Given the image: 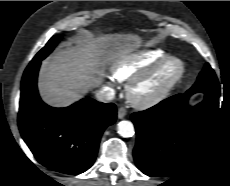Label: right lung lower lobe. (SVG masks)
Here are the masks:
<instances>
[{"label":"right lung lower lobe","instance_id":"right-lung-lower-lobe-1","mask_svg":"<svg viewBox=\"0 0 230 186\" xmlns=\"http://www.w3.org/2000/svg\"><path fill=\"white\" fill-rule=\"evenodd\" d=\"M40 64L30 63L22 77L21 136L43 166L65 174L83 173L94 163L103 131L115 122L116 107L91 98L66 108L46 105L37 90Z\"/></svg>","mask_w":230,"mask_h":186}]
</instances>
